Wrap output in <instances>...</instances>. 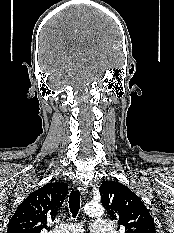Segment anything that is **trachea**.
<instances>
[{"label": "trachea", "mask_w": 174, "mask_h": 233, "mask_svg": "<svg viewBox=\"0 0 174 233\" xmlns=\"http://www.w3.org/2000/svg\"><path fill=\"white\" fill-rule=\"evenodd\" d=\"M69 208L72 216L75 218L80 209V192L79 190H72L69 196Z\"/></svg>", "instance_id": "3493384b"}]
</instances>
